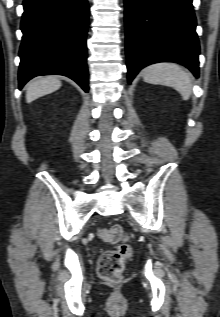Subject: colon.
Wrapping results in <instances>:
<instances>
[{"mask_svg":"<svg viewBox=\"0 0 220 317\" xmlns=\"http://www.w3.org/2000/svg\"><path fill=\"white\" fill-rule=\"evenodd\" d=\"M100 238L116 247L101 254L97 266L98 275L105 281L119 283L123 277L125 263L132 255V248L128 244L129 237L121 226L113 225L102 229Z\"/></svg>","mask_w":220,"mask_h":317,"instance_id":"colon-1","label":"colon"}]
</instances>
